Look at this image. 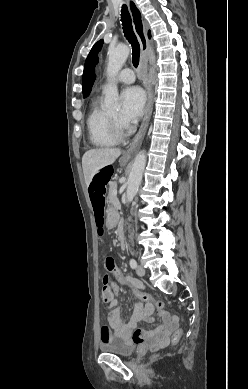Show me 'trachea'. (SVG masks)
<instances>
[{
  "instance_id": "1",
  "label": "trachea",
  "mask_w": 248,
  "mask_h": 389,
  "mask_svg": "<svg viewBox=\"0 0 248 389\" xmlns=\"http://www.w3.org/2000/svg\"><path fill=\"white\" fill-rule=\"evenodd\" d=\"M121 21L124 35L132 46V63L137 68L140 58V45L133 31L131 16L126 5H123L121 9Z\"/></svg>"
}]
</instances>
